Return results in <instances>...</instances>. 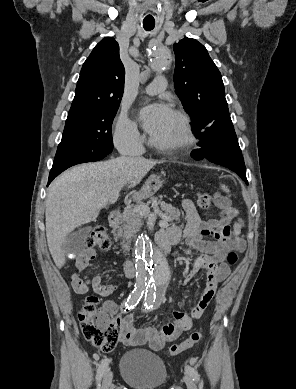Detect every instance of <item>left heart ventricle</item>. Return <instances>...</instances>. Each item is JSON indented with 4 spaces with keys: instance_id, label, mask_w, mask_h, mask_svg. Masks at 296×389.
<instances>
[{
    "instance_id": "1",
    "label": "left heart ventricle",
    "mask_w": 296,
    "mask_h": 389,
    "mask_svg": "<svg viewBox=\"0 0 296 389\" xmlns=\"http://www.w3.org/2000/svg\"><path fill=\"white\" fill-rule=\"evenodd\" d=\"M181 135L179 119L171 113L162 128L152 137L159 142H172Z\"/></svg>"
}]
</instances>
